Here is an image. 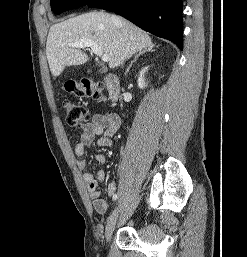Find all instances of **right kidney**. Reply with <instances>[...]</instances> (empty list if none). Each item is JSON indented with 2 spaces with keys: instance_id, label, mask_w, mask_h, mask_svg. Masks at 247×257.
Returning a JSON list of instances; mask_svg holds the SVG:
<instances>
[{
  "instance_id": "1",
  "label": "right kidney",
  "mask_w": 247,
  "mask_h": 257,
  "mask_svg": "<svg viewBox=\"0 0 247 257\" xmlns=\"http://www.w3.org/2000/svg\"><path fill=\"white\" fill-rule=\"evenodd\" d=\"M148 70V67H145L143 68L141 71H140V74H139V77H138V87L140 89H143L146 87V83H145V79H144V74L145 72Z\"/></svg>"
}]
</instances>
